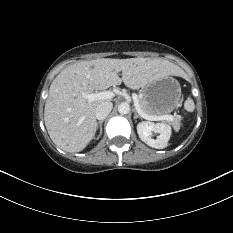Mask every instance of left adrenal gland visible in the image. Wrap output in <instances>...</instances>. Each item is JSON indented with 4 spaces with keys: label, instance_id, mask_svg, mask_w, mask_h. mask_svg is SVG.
<instances>
[{
    "label": "left adrenal gland",
    "instance_id": "a2214340",
    "mask_svg": "<svg viewBox=\"0 0 233 233\" xmlns=\"http://www.w3.org/2000/svg\"><path fill=\"white\" fill-rule=\"evenodd\" d=\"M134 119L140 118L142 119V117L136 112V110L134 109Z\"/></svg>",
    "mask_w": 233,
    "mask_h": 233
}]
</instances>
